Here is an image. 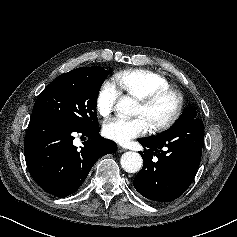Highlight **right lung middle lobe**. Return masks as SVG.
Wrapping results in <instances>:
<instances>
[{
  "label": "right lung middle lobe",
  "instance_id": "obj_1",
  "mask_svg": "<svg viewBox=\"0 0 237 237\" xmlns=\"http://www.w3.org/2000/svg\"><path fill=\"white\" fill-rule=\"evenodd\" d=\"M108 74L95 66L58 76L38 96L31 117L56 120L77 128L97 125V97Z\"/></svg>",
  "mask_w": 237,
  "mask_h": 237
}]
</instances>
